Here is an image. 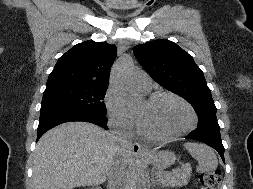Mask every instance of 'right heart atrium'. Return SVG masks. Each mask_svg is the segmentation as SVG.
<instances>
[{
    "label": "right heart atrium",
    "instance_id": "right-heart-atrium-1",
    "mask_svg": "<svg viewBox=\"0 0 253 189\" xmlns=\"http://www.w3.org/2000/svg\"><path fill=\"white\" fill-rule=\"evenodd\" d=\"M105 105L111 123L118 129L129 130L133 125V116L126 109L122 99L113 92H108Z\"/></svg>",
    "mask_w": 253,
    "mask_h": 189
}]
</instances>
